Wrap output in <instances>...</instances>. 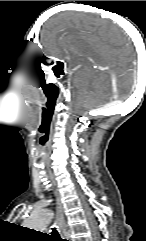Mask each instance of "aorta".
Here are the masks:
<instances>
[{
	"label": "aorta",
	"mask_w": 146,
	"mask_h": 241,
	"mask_svg": "<svg viewBox=\"0 0 146 241\" xmlns=\"http://www.w3.org/2000/svg\"><path fill=\"white\" fill-rule=\"evenodd\" d=\"M52 213L48 209H41L32 213L26 220L25 226L29 229L44 230L51 220Z\"/></svg>",
	"instance_id": "obj_1"
}]
</instances>
